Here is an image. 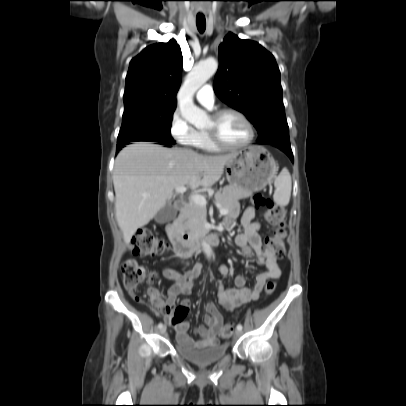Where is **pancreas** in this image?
I'll list each match as a JSON object with an SVG mask.
<instances>
[{"mask_svg": "<svg viewBox=\"0 0 406 406\" xmlns=\"http://www.w3.org/2000/svg\"><path fill=\"white\" fill-rule=\"evenodd\" d=\"M252 192L238 186L229 185L216 192L215 202L223 209L230 210L232 205L240 199L247 198ZM207 210L191 201L180 213L178 217L179 228L190 236H196L204 231Z\"/></svg>", "mask_w": 406, "mask_h": 406, "instance_id": "obj_1", "label": "pancreas"}]
</instances>
